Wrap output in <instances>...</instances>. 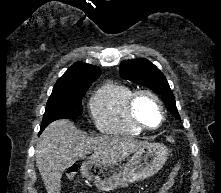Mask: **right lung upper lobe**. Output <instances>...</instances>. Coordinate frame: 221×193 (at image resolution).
I'll use <instances>...</instances> for the list:
<instances>
[{
  "instance_id": "right-lung-upper-lobe-1",
  "label": "right lung upper lobe",
  "mask_w": 221,
  "mask_h": 193,
  "mask_svg": "<svg viewBox=\"0 0 221 193\" xmlns=\"http://www.w3.org/2000/svg\"><path fill=\"white\" fill-rule=\"evenodd\" d=\"M100 74L98 67L77 62L57 80L53 90L91 85Z\"/></svg>"
}]
</instances>
